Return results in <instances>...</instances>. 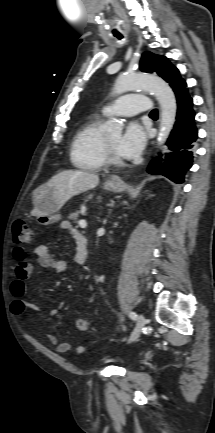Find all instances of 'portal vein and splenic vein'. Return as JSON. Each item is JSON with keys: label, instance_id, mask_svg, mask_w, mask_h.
<instances>
[{"label": "portal vein and splenic vein", "instance_id": "obj_1", "mask_svg": "<svg viewBox=\"0 0 215 433\" xmlns=\"http://www.w3.org/2000/svg\"><path fill=\"white\" fill-rule=\"evenodd\" d=\"M79 226H80L81 228H86V227H87V223H86V221H85V220H80V221H79Z\"/></svg>", "mask_w": 215, "mask_h": 433}]
</instances>
